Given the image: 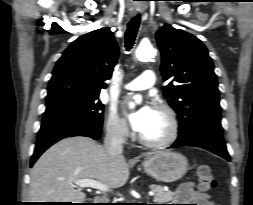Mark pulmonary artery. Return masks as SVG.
<instances>
[{
    "mask_svg": "<svg viewBox=\"0 0 253 205\" xmlns=\"http://www.w3.org/2000/svg\"><path fill=\"white\" fill-rule=\"evenodd\" d=\"M156 77L152 70H145L142 74L124 86L127 90H145L155 84Z\"/></svg>",
    "mask_w": 253,
    "mask_h": 205,
    "instance_id": "obj_1",
    "label": "pulmonary artery"
}]
</instances>
